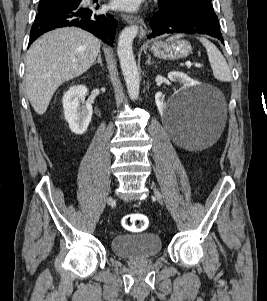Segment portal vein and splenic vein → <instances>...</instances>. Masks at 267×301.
Wrapping results in <instances>:
<instances>
[{
  "instance_id": "portal-vein-and-splenic-vein-1",
  "label": "portal vein and splenic vein",
  "mask_w": 267,
  "mask_h": 301,
  "mask_svg": "<svg viewBox=\"0 0 267 301\" xmlns=\"http://www.w3.org/2000/svg\"><path fill=\"white\" fill-rule=\"evenodd\" d=\"M186 65H187V67H190V66H191V63L188 62V63H186ZM194 65H195V67H198V68H201V67H202V65L199 64V63H195Z\"/></svg>"
}]
</instances>
